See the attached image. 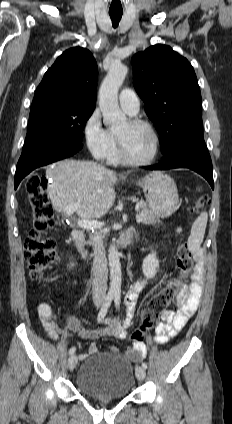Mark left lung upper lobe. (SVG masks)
<instances>
[{"mask_svg": "<svg viewBox=\"0 0 232 424\" xmlns=\"http://www.w3.org/2000/svg\"><path fill=\"white\" fill-rule=\"evenodd\" d=\"M133 80L161 138L162 153L183 134L202 128L201 93L193 67L157 44L132 58Z\"/></svg>", "mask_w": 232, "mask_h": 424, "instance_id": "obj_1", "label": "left lung upper lobe"}]
</instances>
